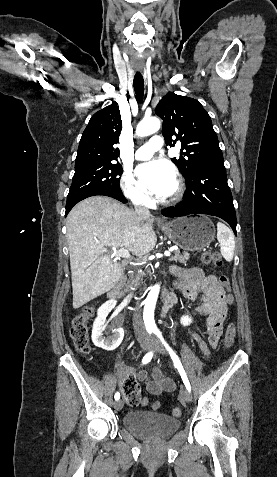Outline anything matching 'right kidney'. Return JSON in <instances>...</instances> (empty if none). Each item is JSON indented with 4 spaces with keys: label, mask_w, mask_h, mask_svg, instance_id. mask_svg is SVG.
<instances>
[{
    "label": "right kidney",
    "mask_w": 277,
    "mask_h": 477,
    "mask_svg": "<svg viewBox=\"0 0 277 477\" xmlns=\"http://www.w3.org/2000/svg\"><path fill=\"white\" fill-rule=\"evenodd\" d=\"M117 301L109 300L105 302L97 311V318L93 323L92 329V342L95 346L107 351L116 349L122 342L124 337V329L121 324H117L113 329L111 336L105 338L103 336V330L105 327V320L112 309L115 308Z\"/></svg>",
    "instance_id": "ca27d5eb"
}]
</instances>
